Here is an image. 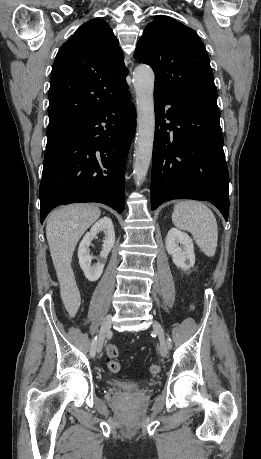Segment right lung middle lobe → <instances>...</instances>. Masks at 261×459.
<instances>
[{
    "mask_svg": "<svg viewBox=\"0 0 261 459\" xmlns=\"http://www.w3.org/2000/svg\"><path fill=\"white\" fill-rule=\"evenodd\" d=\"M78 126V123L65 122L48 126L47 147L54 145Z\"/></svg>",
    "mask_w": 261,
    "mask_h": 459,
    "instance_id": "right-lung-middle-lobe-1",
    "label": "right lung middle lobe"
}]
</instances>
